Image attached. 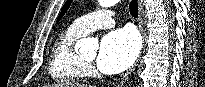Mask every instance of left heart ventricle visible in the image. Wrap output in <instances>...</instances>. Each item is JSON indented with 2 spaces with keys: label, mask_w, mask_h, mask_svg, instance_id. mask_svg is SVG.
I'll list each match as a JSON object with an SVG mask.
<instances>
[{
  "label": "left heart ventricle",
  "mask_w": 205,
  "mask_h": 87,
  "mask_svg": "<svg viewBox=\"0 0 205 87\" xmlns=\"http://www.w3.org/2000/svg\"><path fill=\"white\" fill-rule=\"evenodd\" d=\"M87 61H90L91 59H86Z\"/></svg>",
  "instance_id": "obj_1"
}]
</instances>
